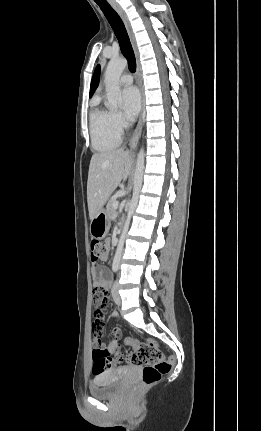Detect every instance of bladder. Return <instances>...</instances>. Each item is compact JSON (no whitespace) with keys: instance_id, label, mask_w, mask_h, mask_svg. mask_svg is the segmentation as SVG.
Wrapping results in <instances>:
<instances>
[{"instance_id":"31cf9c89","label":"bladder","mask_w":261,"mask_h":431,"mask_svg":"<svg viewBox=\"0 0 261 431\" xmlns=\"http://www.w3.org/2000/svg\"><path fill=\"white\" fill-rule=\"evenodd\" d=\"M124 376L114 372L97 375L89 384V393L98 399L116 397L122 390Z\"/></svg>"}]
</instances>
